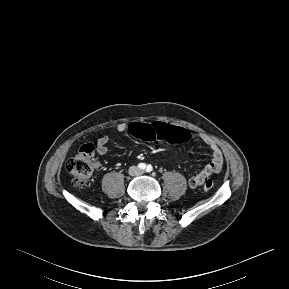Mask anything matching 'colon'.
Wrapping results in <instances>:
<instances>
[{
    "instance_id": "1",
    "label": "colon",
    "mask_w": 289,
    "mask_h": 289,
    "mask_svg": "<svg viewBox=\"0 0 289 289\" xmlns=\"http://www.w3.org/2000/svg\"><path fill=\"white\" fill-rule=\"evenodd\" d=\"M129 132L132 136L137 138L144 137L147 140H166L169 143H181L189 139V131L186 129L169 126L164 121H156L152 123L134 122L129 127ZM96 149V142L87 143L80 147V149L67 161L66 169L72 176L73 182L77 186H84L88 183L93 166H94V152ZM214 186L211 179L205 181L203 188L208 191Z\"/></svg>"
}]
</instances>
